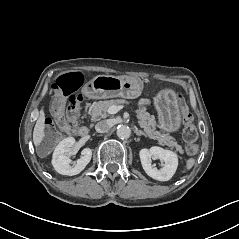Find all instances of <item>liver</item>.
Returning a JSON list of instances; mask_svg holds the SVG:
<instances>
[{
	"label": "liver",
	"mask_w": 239,
	"mask_h": 239,
	"mask_svg": "<svg viewBox=\"0 0 239 239\" xmlns=\"http://www.w3.org/2000/svg\"><path fill=\"white\" fill-rule=\"evenodd\" d=\"M90 74H93L92 72H89ZM54 92V88L51 87L48 92V96H51ZM45 106H41L39 111V117L35 123L34 130H33V143L35 147H38L43 140L45 139Z\"/></svg>",
	"instance_id": "1"
}]
</instances>
